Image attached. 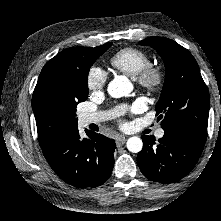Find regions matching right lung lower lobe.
<instances>
[{"mask_svg":"<svg viewBox=\"0 0 221 221\" xmlns=\"http://www.w3.org/2000/svg\"><path fill=\"white\" fill-rule=\"evenodd\" d=\"M81 139L78 127H73L54 138L42 148L55 173L76 188L97 187L109 177L114 166L116 144L104 135L86 131Z\"/></svg>","mask_w":221,"mask_h":221,"instance_id":"98d812e1","label":"right lung lower lobe"}]
</instances>
